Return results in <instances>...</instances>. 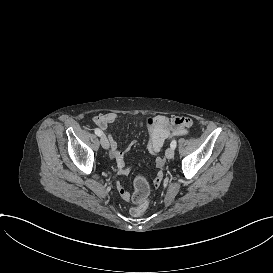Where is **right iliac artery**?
<instances>
[{
  "mask_svg": "<svg viewBox=\"0 0 273 273\" xmlns=\"http://www.w3.org/2000/svg\"><path fill=\"white\" fill-rule=\"evenodd\" d=\"M95 131V134L97 135V136H102L103 135V133H102V131L100 130V129H95L94 130Z\"/></svg>",
  "mask_w": 273,
  "mask_h": 273,
  "instance_id": "obj_1",
  "label": "right iliac artery"
}]
</instances>
